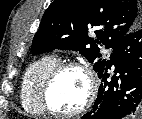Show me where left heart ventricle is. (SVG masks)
I'll return each instance as SVG.
<instances>
[{
	"label": "left heart ventricle",
	"instance_id": "left-heart-ventricle-1",
	"mask_svg": "<svg viewBox=\"0 0 142 119\" xmlns=\"http://www.w3.org/2000/svg\"><path fill=\"white\" fill-rule=\"evenodd\" d=\"M87 93V81L77 69L62 72L56 79L51 92V105L62 112H69L82 105Z\"/></svg>",
	"mask_w": 142,
	"mask_h": 119
}]
</instances>
